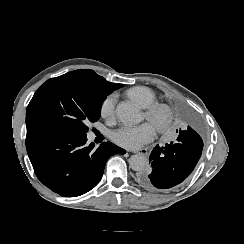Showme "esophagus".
I'll use <instances>...</instances> for the list:
<instances>
[{"label":"esophagus","mask_w":244,"mask_h":244,"mask_svg":"<svg viewBox=\"0 0 244 244\" xmlns=\"http://www.w3.org/2000/svg\"><path fill=\"white\" fill-rule=\"evenodd\" d=\"M132 152L136 153V154L143 155V156H147L148 155V149L147 148H141V149L132 150Z\"/></svg>","instance_id":"1"}]
</instances>
